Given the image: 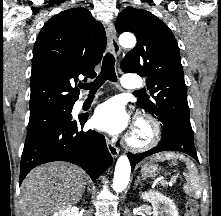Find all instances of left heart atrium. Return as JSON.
Segmentation results:
<instances>
[{
	"instance_id": "39dd6f15",
	"label": "left heart atrium",
	"mask_w": 221,
	"mask_h": 216,
	"mask_svg": "<svg viewBox=\"0 0 221 216\" xmlns=\"http://www.w3.org/2000/svg\"><path fill=\"white\" fill-rule=\"evenodd\" d=\"M92 124L98 130L118 134L130 126V117L122 103L112 99L96 107Z\"/></svg>"
}]
</instances>
